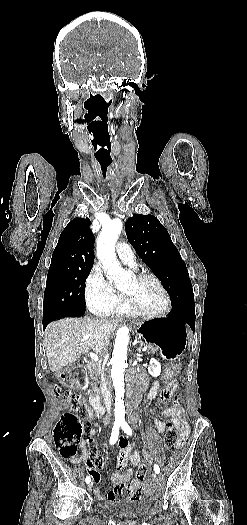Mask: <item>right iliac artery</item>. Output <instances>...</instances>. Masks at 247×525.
Listing matches in <instances>:
<instances>
[{
	"instance_id": "right-iliac-artery-1",
	"label": "right iliac artery",
	"mask_w": 247,
	"mask_h": 525,
	"mask_svg": "<svg viewBox=\"0 0 247 525\" xmlns=\"http://www.w3.org/2000/svg\"><path fill=\"white\" fill-rule=\"evenodd\" d=\"M119 428H120V424H117V423L114 424V426L112 428L111 437H110V444H115L116 443V441L118 439ZM85 481H86V483H90L91 478L89 476H87Z\"/></svg>"
}]
</instances>
